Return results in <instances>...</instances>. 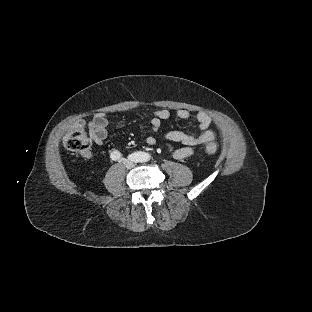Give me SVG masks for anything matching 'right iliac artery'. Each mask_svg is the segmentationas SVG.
Instances as JSON below:
<instances>
[{"mask_svg":"<svg viewBox=\"0 0 312 312\" xmlns=\"http://www.w3.org/2000/svg\"><path fill=\"white\" fill-rule=\"evenodd\" d=\"M135 154L129 155L128 158L133 162H138V159L135 157ZM110 157L112 160H117L121 157V153L117 150H114L113 152H111Z\"/></svg>","mask_w":312,"mask_h":312,"instance_id":"1","label":"right iliac artery"}]
</instances>
